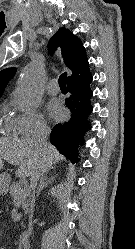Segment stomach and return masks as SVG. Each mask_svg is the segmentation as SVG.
<instances>
[{"instance_id": "0dacf381", "label": "stomach", "mask_w": 135, "mask_h": 249, "mask_svg": "<svg viewBox=\"0 0 135 249\" xmlns=\"http://www.w3.org/2000/svg\"><path fill=\"white\" fill-rule=\"evenodd\" d=\"M3 167V161L2 160H0V169ZM3 188V185H2V182H1V180H0V189H2Z\"/></svg>"}]
</instances>
